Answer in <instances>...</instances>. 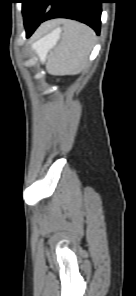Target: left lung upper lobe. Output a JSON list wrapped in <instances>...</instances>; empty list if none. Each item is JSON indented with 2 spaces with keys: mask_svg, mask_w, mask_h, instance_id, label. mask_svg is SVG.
I'll return each mask as SVG.
<instances>
[{
  "mask_svg": "<svg viewBox=\"0 0 136 296\" xmlns=\"http://www.w3.org/2000/svg\"><path fill=\"white\" fill-rule=\"evenodd\" d=\"M53 0H23L22 10L24 17L25 28L40 21L47 12L48 5H51Z\"/></svg>",
  "mask_w": 136,
  "mask_h": 296,
  "instance_id": "5c2ea615",
  "label": "left lung upper lobe"
}]
</instances>
